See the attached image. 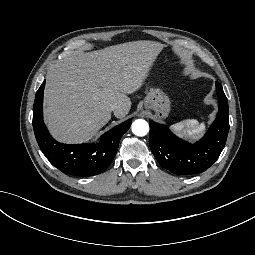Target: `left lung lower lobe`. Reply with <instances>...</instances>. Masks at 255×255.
<instances>
[{"label": "left lung lower lobe", "mask_w": 255, "mask_h": 255, "mask_svg": "<svg viewBox=\"0 0 255 255\" xmlns=\"http://www.w3.org/2000/svg\"><path fill=\"white\" fill-rule=\"evenodd\" d=\"M219 100L218 115L205 136L195 144L176 137L162 124L150 121L149 144L160 165L178 175H192L207 170L222 152L228 131V101L216 82Z\"/></svg>", "instance_id": "obj_1"}]
</instances>
